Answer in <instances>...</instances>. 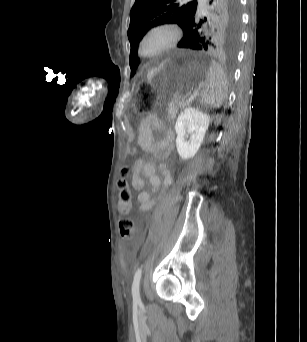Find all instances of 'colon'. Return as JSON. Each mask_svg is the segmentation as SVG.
<instances>
[{
	"label": "colon",
	"instance_id": "colon-1",
	"mask_svg": "<svg viewBox=\"0 0 307 342\" xmlns=\"http://www.w3.org/2000/svg\"><path fill=\"white\" fill-rule=\"evenodd\" d=\"M138 87L140 89L141 94H150L151 93V84L150 82H139ZM153 109V103L148 99L143 97L142 100L135 104L136 113H144ZM136 150H131V154H135ZM123 179L118 182V195L119 199L122 202V213H128L130 210V203L132 192L128 186L126 181V177L130 176L131 171L128 168H124L122 170ZM119 231L122 239L130 240L135 232L134 221L129 218H122L119 220Z\"/></svg>",
	"mask_w": 307,
	"mask_h": 342
}]
</instances>
